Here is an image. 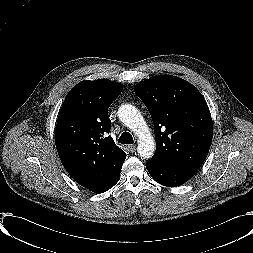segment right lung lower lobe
Instances as JSON below:
<instances>
[{
	"label": "right lung lower lobe",
	"mask_w": 253,
	"mask_h": 253,
	"mask_svg": "<svg viewBox=\"0 0 253 253\" xmlns=\"http://www.w3.org/2000/svg\"><path fill=\"white\" fill-rule=\"evenodd\" d=\"M120 179V178H119ZM119 179H117V181H115L113 184H112V186L110 187V188H112L118 181H119ZM109 188V189H110Z\"/></svg>",
	"instance_id": "right-lung-lower-lobe-1"
}]
</instances>
